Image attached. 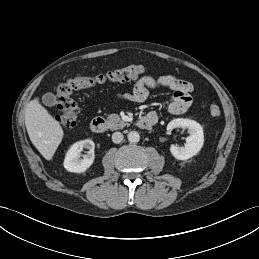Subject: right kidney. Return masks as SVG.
Returning a JSON list of instances; mask_svg holds the SVG:
<instances>
[{
  "mask_svg": "<svg viewBox=\"0 0 259 259\" xmlns=\"http://www.w3.org/2000/svg\"><path fill=\"white\" fill-rule=\"evenodd\" d=\"M95 144L92 140L86 139L74 143L66 153L64 159V168L69 172L83 173L94 162ZM87 149V154L83 155V159H80L81 152Z\"/></svg>",
  "mask_w": 259,
  "mask_h": 259,
  "instance_id": "obj_1",
  "label": "right kidney"
}]
</instances>
